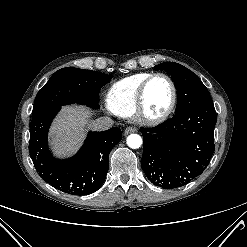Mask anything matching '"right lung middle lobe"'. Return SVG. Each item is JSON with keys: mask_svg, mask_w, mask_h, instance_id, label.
I'll return each instance as SVG.
<instances>
[{"mask_svg": "<svg viewBox=\"0 0 247 247\" xmlns=\"http://www.w3.org/2000/svg\"><path fill=\"white\" fill-rule=\"evenodd\" d=\"M110 79L109 75L92 70L62 68L37 93L32 114L74 102L98 108L99 91Z\"/></svg>", "mask_w": 247, "mask_h": 247, "instance_id": "obj_1", "label": "right lung middle lobe"}]
</instances>
